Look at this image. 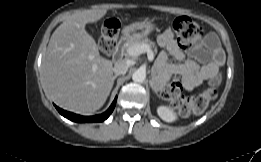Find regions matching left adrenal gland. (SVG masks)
<instances>
[{
	"mask_svg": "<svg viewBox=\"0 0 261 162\" xmlns=\"http://www.w3.org/2000/svg\"><path fill=\"white\" fill-rule=\"evenodd\" d=\"M150 86H151V88L153 89V91L158 95V93H157V91H156V89H155V87L153 86V83L150 81ZM159 96V95H158Z\"/></svg>",
	"mask_w": 261,
	"mask_h": 162,
	"instance_id": "1",
	"label": "left adrenal gland"
}]
</instances>
